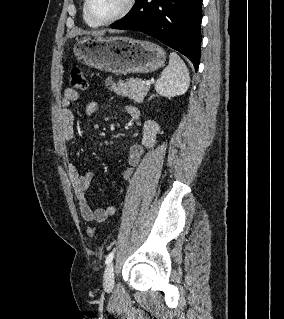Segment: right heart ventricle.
I'll return each mask as SVG.
<instances>
[{"mask_svg":"<svg viewBox=\"0 0 284 319\" xmlns=\"http://www.w3.org/2000/svg\"><path fill=\"white\" fill-rule=\"evenodd\" d=\"M82 18H83V21H84L89 27H92V28L98 27L97 25L93 24L90 20H88V18L86 17V15H85V13H84V8H82Z\"/></svg>","mask_w":284,"mask_h":319,"instance_id":"e07e8e85","label":"right heart ventricle"}]
</instances>
